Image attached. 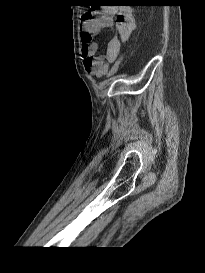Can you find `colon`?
Wrapping results in <instances>:
<instances>
[{
	"instance_id": "1",
	"label": "colon",
	"mask_w": 205,
	"mask_h": 273,
	"mask_svg": "<svg viewBox=\"0 0 205 273\" xmlns=\"http://www.w3.org/2000/svg\"><path fill=\"white\" fill-rule=\"evenodd\" d=\"M119 63H120V61H117V62L113 65V67L111 68L110 73H109L110 76H114V75L117 73L118 68H119Z\"/></svg>"
}]
</instances>
